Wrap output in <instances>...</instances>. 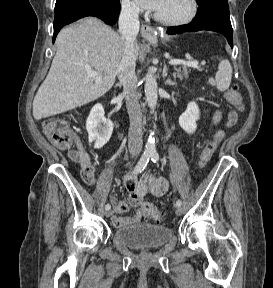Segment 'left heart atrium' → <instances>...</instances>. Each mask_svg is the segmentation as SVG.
Segmentation results:
<instances>
[{"instance_id":"obj_1","label":"left heart atrium","mask_w":273,"mask_h":288,"mask_svg":"<svg viewBox=\"0 0 273 288\" xmlns=\"http://www.w3.org/2000/svg\"><path fill=\"white\" fill-rule=\"evenodd\" d=\"M163 0H136V2L143 8L157 11Z\"/></svg>"}]
</instances>
